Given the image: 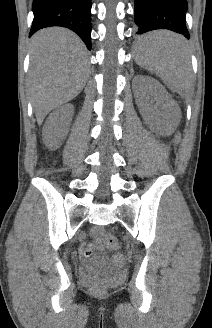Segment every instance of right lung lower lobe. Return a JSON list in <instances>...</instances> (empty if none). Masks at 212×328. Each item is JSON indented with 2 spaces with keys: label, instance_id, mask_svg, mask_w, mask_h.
Returning a JSON list of instances; mask_svg holds the SVG:
<instances>
[{
  "label": "right lung lower lobe",
  "instance_id": "1",
  "mask_svg": "<svg viewBox=\"0 0 212 328\" xmlns=\"http://www.w3.org/2000/svg\"><path fill=\"white\" fill-rule=\"evenodd\" d=\"M34 19L30 36L50 26H63L77 33L91 50V0H33Z\"/></svg>",
  "mask_w": 212,
  "mask_h": 328
}]
</instances>
